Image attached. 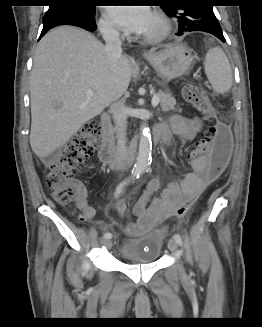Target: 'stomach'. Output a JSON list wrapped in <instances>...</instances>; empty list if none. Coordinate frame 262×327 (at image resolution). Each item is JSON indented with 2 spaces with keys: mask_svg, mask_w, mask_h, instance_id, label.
Here are the masks:
<instances>
[{
  "mask_svg": "<svg viewBox=\"0 0 262 327\" xmlns=\"http://www.w3.org/2000/svg\"><path fill=\"white\" fill-rule=\"evenodd\" d=\"M163 82L187 74L193 67V55L185 45L173 44L146 56Z\"/></svg>",
  "mask_w": 262,
  "mask_h": 327,
  "instance_id": "1",
  "label": "stomach"
}]
</instances>
